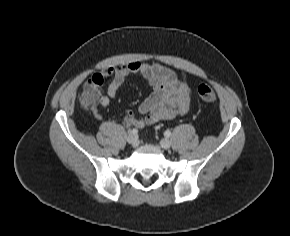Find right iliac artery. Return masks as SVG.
Wrapping results in <instances>:
<instances>
[{
	"label": "right iliac artery",
	"mask_w": 290,
	"mask_h": 236,
	"mask_svg": "<svg viewBox=\"0 0 290 236\" xmlns=\"http://www.w3.org/2000/svg\"><path fill=\"white\" fill-rule=\"evenodd\" d=\"M131 133L134 134V135H136L138 133V130L137 129H132L131 130Z\"/></svg>",
	"instance_id": "82829eb1"
}]
</instances>
